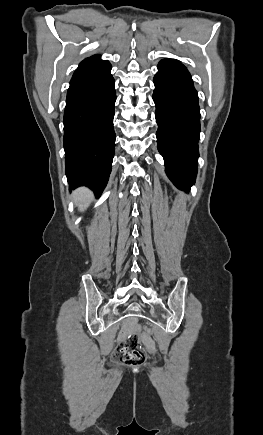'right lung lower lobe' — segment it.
<instances>
[{
  "label": "right lung lower lobe",
  "mask_w": 263,
  "mask_h": 435,
  "mask_svg": "<svg viewBox=\"0 0 263 435\" xmlns=\"http://www.w3.org/2000/svg\"><path fill=\"white\" fill-rule=\"evenodd\" d=\"M109 62L75 71L64 112L66 176L70 189L87 186L102 194L114 156L116 93Z\"/></svg>",
  "instance_id": "obj_1"
}]
</instances>
